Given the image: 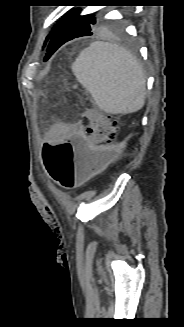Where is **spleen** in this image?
I'll return each instance as SVG.
<instances>
[{"mask_svg": "<svg viewBox=\"0 0 184 327\" xmlns=\"http://www.w3.org/2000/svg\"><path fill=\"white\" fill-rule=\"evenodd\" d=\"M72 72L106 113H132L145 102V75L140 63L123 47L102 41L82 50Z\"/></svg>", "mask_w": 184, "mask_h": 327, "instance_id": "3e777b00", "label": "spleen"}]
</instances>
